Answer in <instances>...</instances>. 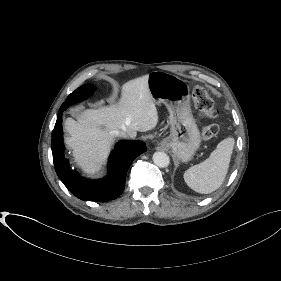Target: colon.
<instances>
[{
  "instance_id": "5ec220e1",
  "label": "colon",
  "mask_w": 281,
  "mask_h": 281,
  "mask_svg": "<svg viewBox=\"0 0 281 281\" xmlns=\"http://www.w3.org/2000/svg\"><path fill=\"white\" fill-rule=\"evenodd\" d=\"M193 98L196 103L198 111L208 120H214L218 116V111L215 108L214 100L209 95L208 91L196 86L193 89ZM219 132V127L216 123L211 122L207 124L202 130V138L210 140L214 138Z\"/></svg>"
}]
</instances>
